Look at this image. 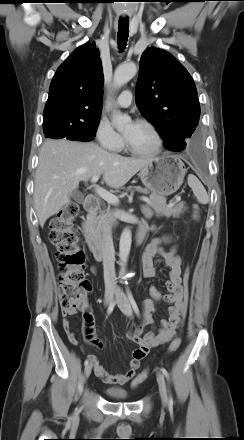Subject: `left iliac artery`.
Returning a JSON list of instances; mask_svg holds the SVG:
<instances>
[{
	"label": "left iliac artery",
	"instance_id": "44dca946",
	"mask_svg": "<svg viewBox=\"0 0 244 440\" xmlns=\"http://www.w3.org/2000/svg\"><path fill=\"white\" fill-rule=\"evenodd\" d=\"M127 292H128V297H129V300H130V303L133 307L134 312L136 313L137 316H140V312H139L138 306L136 304V301L134 300L133 295L131 294V292L128 288H127ZM161 371L165 375L167 380H169V373L167 372V370L165 368H161ZM169 406H173V399H172L171 395L169 397Z\"/></svg>",
	"mask_w": 244,
	"mask_h": 440
}]
</instances>
